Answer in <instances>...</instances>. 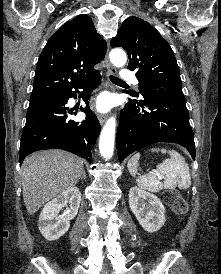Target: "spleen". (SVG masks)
Listing matches in <instances>:
<instances>
[{"label":"spleen","instance_id":"1","mask_svg":"<svg viewBox=\"0 0 221 274\" xmlns=\"http://www.w3.org/2000/svg\"><path fill=\"white\" fill-rule=\"evenodd\" d=\"M152 152L168 153L169 159L158 164L156 170L136 178V183L144 190L156 193L162 189H188L191 185V176L188 164L184 157L175 150H166L164 148H152ZM140 153L133 155L128 161L127 167L132 176L137 174L138 160ZM161 176L164 181L161 182Z\"/></svg>","mask_w":221,"mask_h":274}]
</instances>
